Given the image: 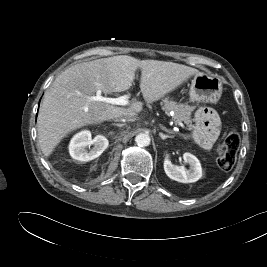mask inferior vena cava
Wrapping results in <instances>:
<instances>
[{
    "mask_svg": "<svg viewBox=\"0 0 267 267\" xmlns=\"http://www.w3.org/2000/svg\"><path fill=\"white\" fill-rule=\"evenodd\" d=\"M135 120H136L135 114H127V115L115 118V121H122V122H125V121L133 122Z\"/></svg>",
    "mask_w": 267,
    "mask_h": 267,
    "instance_id": "1",
    "label": "inferior vena cava"
}]
</instances>
